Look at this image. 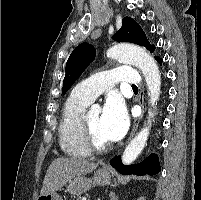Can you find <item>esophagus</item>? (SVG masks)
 I'll list each match as a JSON object with an SVG mask.
<instances>
[{
    "label": "esophagus",
    "mask_w": 201,
    "mask_h": 200,
    "mask_svg": "<svg viewBox=\"0 0 201 200\" xmlns=\"http://www.w3.org/2000/svg\"><path fill=\"white\" fill-rule=\"evenodd\" d=\"M138 103L141 106L142 111H141L140 116L137 117L133 122V127H132V130H131L130 136L128 138V141H130L132 139V137L134 136V134L136 133L138 125H139V122H140V120L142 119V117L144 115V87H143V85H141V87H140L139 96H138Z\"/></svg>",
    "instance_id": "obj_1"
}]
</instances>
